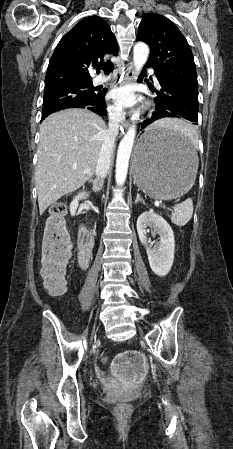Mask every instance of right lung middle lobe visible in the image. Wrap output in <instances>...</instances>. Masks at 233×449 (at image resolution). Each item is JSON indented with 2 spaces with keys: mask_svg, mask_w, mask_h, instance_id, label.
<instances>
[{
  "mask_svg": "<svg viewBox=\"0 0 233 449\" xmlns=\"http://www.w3.org/2000/svg\"><path fill=\"white\" fill-rule=\"evenodd\" d=\"M99 97L93 84L66 85L44 91L42 113L54 111L73 103H91Z\"/></svg>",
  "mask_w": 233,
  "mask_h": 449,
  "instance_id": "1",
  "label": "right lung middle lobe"
}]
</instances>
